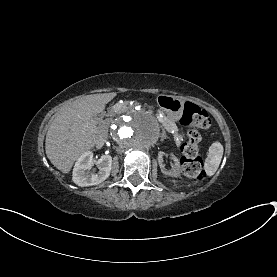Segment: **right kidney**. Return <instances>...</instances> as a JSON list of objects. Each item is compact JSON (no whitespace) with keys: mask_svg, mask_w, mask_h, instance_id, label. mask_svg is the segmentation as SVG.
Here are the masks:
<instances>
[{"mask_svg":"<svg viewBox=\"0 0 277 277\" xmlns=\"http://www.w3.org/2000/svg\"><path fill=\"white\" fill-rule=\"evenodd\" d=\"M93 166V153L85 151L77 159L72 180L75 184L81 187L97 185L106 180L111 172L112 157L110 155H102L97 161L99 171L97 173H88L87 170Z\"/></svg>","mask_w":277,"mask_h":277,"instance_id":"1","label":"right kidney"}]
</instances>
